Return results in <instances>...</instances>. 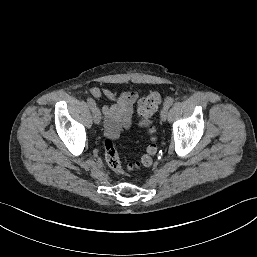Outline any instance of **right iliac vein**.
Here are the masks:
<instances>
[{"mask_svg": "<svg viewBox=\"0 0 257 257\" xmlns=\"http://www.w3.org/2000/svg\"><path fill=\"white\" fill-rule=\"evenodd\" d=\"M93 120L95 124H99L101 121V112L98 108H94L93 110Z\"/></svg>", "mask_w": 257, "mask_h": 257, "instance_id": "1", "label": "right iliac vein"}]
</instances>
